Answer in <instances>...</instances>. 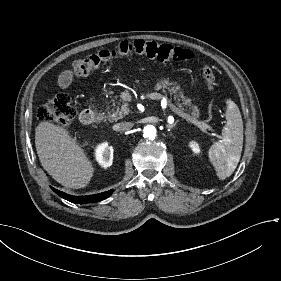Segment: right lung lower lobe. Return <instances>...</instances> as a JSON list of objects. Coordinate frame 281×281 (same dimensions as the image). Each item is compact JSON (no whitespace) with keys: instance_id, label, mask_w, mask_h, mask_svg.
<instances>
[{"instance_id":"98d812e1","label":"right lung lower lobe","mask_w":281,"mask_h":281,"mask_svg":"<svg viewBox=\"0 0 281 281\" xmlns=\"http://www.w3.org/2000/svg\"><path fill=\"white\" fill-rule=\"evenodd\" d=\"M53 191L58 194L60 197L72 202V203H94V202H99L101 200L106 199L108 196H110L113 192V190L102 192L99 194H94V195H86V196H72L69 194H66L62 191H59L53 187H51Z\"/></svg>"}]
</instances>
